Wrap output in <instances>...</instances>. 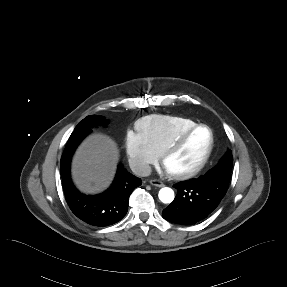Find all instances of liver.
I'll use <instances>...</instances> for the list:
<instances>
[{
	"label": "liver",
	"instance_id": "1",
	"mask_svg": "<svg viewBox=\"0 0 287 287\" xmlns=\"http://www.w3.org/2000/svg\"><path fill=\"white\" fill-rule=\"evenodd\" d=\"M119 158L117 144L108 136L93 134L79 146L72 162V176L86 193L102 191L111 183Z\"/></svg>",
	"mask_w": 287,
	"mask_h": 287
}]
</instances>
